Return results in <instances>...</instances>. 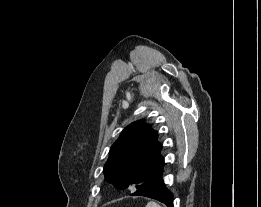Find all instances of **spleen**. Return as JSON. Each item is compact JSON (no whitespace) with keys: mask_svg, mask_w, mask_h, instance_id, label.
<instances>
[{"mask_svg":"<svg viewBox=\"0 0 261 207\" xmlns=\"http://www.w3.org/2000/svg\"><path fill=\"white\" fill-rule=\"evenodd\" d=\"M146 207H161V206L159 204H157L156 202L150 201V202H148Z\"/></svg>","mask_w":261,"mask_h":207,"instance_id":"1","label":"spleen"}]
</instances>
